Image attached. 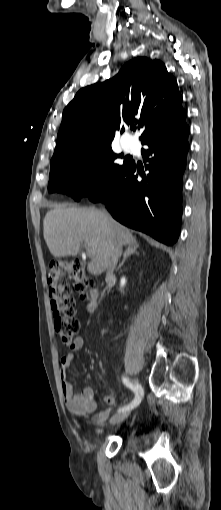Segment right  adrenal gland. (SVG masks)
<instances>
[{"label": "right adrenal gland", "instance_id": "right-adrenal-gland-1", "mask_svg": "<svg viewBox=\"0 0 221 510\" xmlns=\"http://www.w3.org/2000/svg\"><path fill=\"white\" fill-rule=\"evenodd\" d=\"M138 247H139V246H138V244H137V243H134V244L128 245V246L126 247L125 252H124V254H123V260H122V262L119 264V267H118V268L122 267V265L124 264V262L126 261V259H127L129 256H131V255H133V254L139 255V252L137 251Z\"/></svg>", "mask_w": 221, "mask_h": 510}]
</instances>
